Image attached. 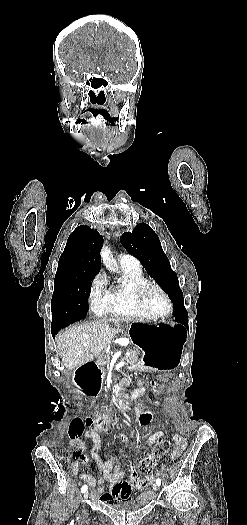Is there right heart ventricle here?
Returning <instances> with one entry per match:
<instances>
[{
  "instance_id": "obj_1",
  "label": "right heart ventricle",
  "mask_w": 247,
  "mask_h": 525,
  "mask_svg": "<svg viewBox=\"0 0 247 525\" xmlns=\"http://www.w3.org/2000/svg\"><path fill=\"white\" fill-rule=\"evenodd\" d=\"M121 278L113 286L115 299L107 305L100 315L103 317H148L135 303L132 288L145 276L140 263L131 255L118 258Z\"/></svg>"
}]
</instances>
